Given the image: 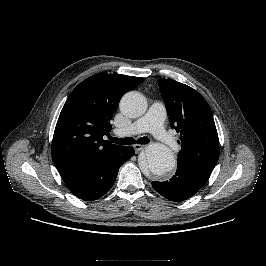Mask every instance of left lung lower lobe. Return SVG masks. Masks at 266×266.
Segmentation results:
<instances>
[{"label":"left lung lower lobe","instance_id":"left-lung-lower-lobe-1","mask_svg":"<svg viewBox=\"0 0 266 266\" xmlns=\"http://www.w3.org/2000/svg\"><path fill=\"white\" fill-rule=\"evenodd\" d=\"M207 180L182 166H177V171L170 180L165 182L153 181L152 186L163 197L180 202L192 197Z\"/></svg>","mask_w":266,"mask_h":266}]
</instances>
